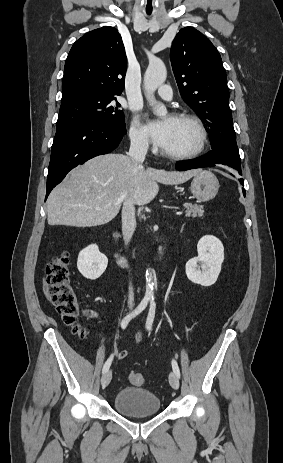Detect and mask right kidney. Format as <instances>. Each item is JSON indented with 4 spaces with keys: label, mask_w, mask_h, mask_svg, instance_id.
<instances>
[{
    "label": "right kidney",
    "mask_w": 283,
    "mask_h": 463,
    "mask_svg": "<svg viewBox=\"0 0 283 463\" xmlns=\"http://www.w3.org/2000/svg\"><path fill=\"white\" fill-rule=\"evenodd\" d=\"M108 259L96 244L84 248L78 255L77 268L87 279L99 278L107 268Z\"/></svg>",
    "instance_id": "obj_1"
}]
</instances>
